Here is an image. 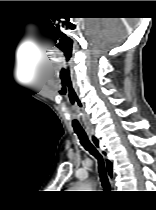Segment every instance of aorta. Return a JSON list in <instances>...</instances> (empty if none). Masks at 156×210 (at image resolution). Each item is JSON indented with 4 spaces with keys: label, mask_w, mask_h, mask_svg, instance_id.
I'll list each match as a JSON object with an SVG mask.
<instances>
[{
    "label": "aorta",
    "mask_w": 156,
    "mask_h": 210,
    "mask_svg": "<svg viewBox=\"0 0 156 210\" xmlns=\"http://www.w3.org/2000/svg\"><path fill=\"white\" fill-rule=\"evenodd\" d=\"M77 187L80 188V189H87L88 188L87 186H84V185H78Z\"/></svg>",
    "instance_id": "762f6f07"
}]
</instances>
